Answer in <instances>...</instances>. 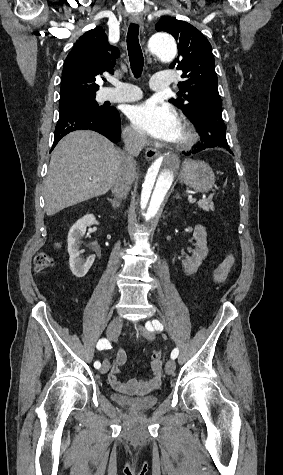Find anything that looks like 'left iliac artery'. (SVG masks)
<instances>
[{
  "instance_id": "1",
  "label": "left iliac artery",
  "mask_w": 283,
  "mask_h": 475,
  "mask_svg": "<svg viewBox=\"0 0 283 475\" xmlns=\"http://www.w3.org/2000/svg\"><path fill=\"white\" fill-rule=\"evenodd\" d=\"M152 324L156 330H160V331L163 330V325L158 320H153ZM152 324L150 322H147L145 326L148 330L153 331ZM178 354H179V350L177 348L173 349V351L171 352V358L172 359L177 358Z\"/></svg>"
}]
</instances>
